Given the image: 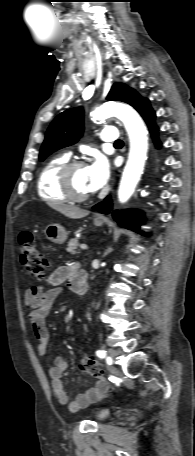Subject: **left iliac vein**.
<instances>
[{"label":"left iliac vein","mask_w":195,"mask_h":456,"mask_svg":"<svg viewBox=\"0 0 195 456\" xmlns=\"http://www.w3.org/2000/svg\"><path fill=\"white\" fill-rule=\"evenodd\" d=\"M108 353H109V359H108V360H109L110 363H112V361H113V360L118 356V354H119L118 351L115 350V349H109Z\"/></svg>","instance_id":"left-iliac-vein-1"}]
</instances>
